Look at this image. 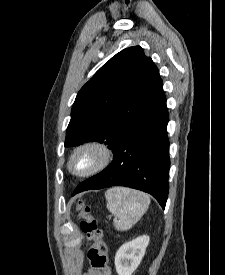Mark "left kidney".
<instances>
[{"instance_id":"obj_1","label":"left kidney","mask_w":225,"mask_h":275,"mask_svg":"<svg viewBox=\"0 0 225 275\" xmlns=\"http://www.w3.org/2000/svg\"><path fill=\"white\" fill-rule=\"evenodd\" d=\"M150 238L140 236L123 244L115 255V268L118 275H132L145 255Z\"/></svg>"}]
</instances>
